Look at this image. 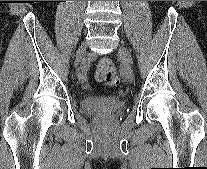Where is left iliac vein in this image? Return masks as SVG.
Masks as SVG:
<instances>
[{
    "mask_svg": "<svg viewBox=\"0 0 207 169\" xmlns=\"http://www.w3.org/2000/svg\"><path fill=\"white\" fill-rule=\"evenodd\" d=\"M119 53L121 55V57L129 64L131 65L132 64V57H131V54L130 52L128 51L127 48H125L124 46H121L120 49H119ZM124 76H125V79L129 82H131L134 78L133 76V72L132 70L129 68V67H126L125 70H124Z\"/></svg>",
    "mask_w": 207,
    "mask_h": 169,
    "instance_id": "obj_1",
    "label": "left iliac vein"
}]
</instances>
